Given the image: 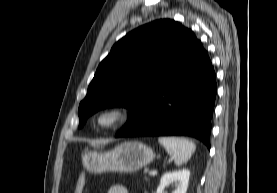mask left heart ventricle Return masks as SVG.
I'll return each instance as SVG.
<instances>
[{
    "label": "left heart ventricle",
    "mask_w": 277,
    "mask_h": 193,
    "mask_svg": "<svg viewBox=\"0 0 277 193\" xmlns=\"http://www.w3.org/2000/svg\"><path fill=\"white\" fill-rule=\"evenodd\" d=\"M106 121V119H103V122H105Z\"/></svg>",
    "instance_id": "left-heart-ventricle-1"
}]
</instances>
